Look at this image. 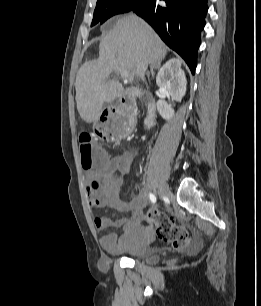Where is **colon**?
Instances as JSON below:
<instances>
[{"mask_svg": "<svg viewBox=\"0 0 261 306\" xmlns=\"http://www.w3.org/2000/svg\"><path fill=\"white\" fill-rule=\"evenodd\" d=\"M133 120V108L124 109L121 115L115 114L114 123L106 124L105 122H98L96 131L81 134L79 138V153L82 168L84 170H91L106 155L104 151L95 150L93 145L95 138H103L106 135L120 138L126 133ZM93 187L94 192H96L99 182L95 181ZM148 218L155 226L157 237L161 242L171 244L175 249H183L189 245L190 239L187 231L175 226L170 216L166 213L150 209L148 211Z\"/></svg>", "mask_w": 261, "mask_h": 306, "instance_id": "1", "label": "colon"}]
</instances>
